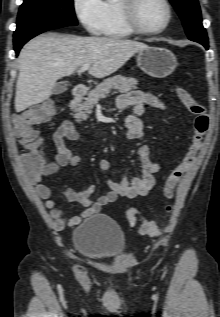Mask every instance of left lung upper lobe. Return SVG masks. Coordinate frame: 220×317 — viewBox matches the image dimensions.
Instances as JSON below:
<instances>
[{"label": "left lung upper lobe", "mask_w": 220, "mask_h": 317, "mask_svg": "<svg viewBox=\"0 0 220 317\" xmlns=\"http://www.w3.org/2000/svg\"><path fill=\"white\" fill-rule=\"evenodd\" d=\"M182 19L186 34L191 40L207 41V35L202 26L201 12L197 0H170Z\"/></svg>", "instance_id": "1"}]
</instances>
